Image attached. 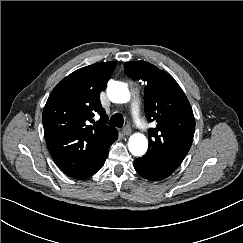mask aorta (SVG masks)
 <instances>
[{"mask_svg": "<svg viewBox=\"0 0 243 243\" xmlns=\"http://www.w3.org/2000/svg\"><path fill=\"white\" fill-rule=\"evenodd\" d=\"M107 96L113 103H127L131 95L127 86L118 81H113L108 84ZM148 141L145 135L134 133L130 136L128 149L134 156H142L146 153Z\"/></svg>", "mask_w": 243, "mask_h": 243, "instance_id": "1", "label": "aorta"}]
</instances>
